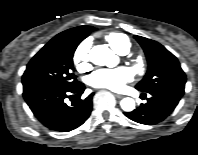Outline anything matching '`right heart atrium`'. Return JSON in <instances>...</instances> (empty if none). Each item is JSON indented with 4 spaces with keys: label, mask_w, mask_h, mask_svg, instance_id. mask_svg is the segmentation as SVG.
<instances>
[{
    "label": "right heart atrium",
    "mask_w": 198,
    "mask_h": 155,
    "mask_svg": "<svg viewBox=\"0 0 198 155\" xmlns=\"http://www.w3.org/2000/svg\"><path fill=\"white\" fill-rule=\"evenodd\" d=\"M90 41L85 40L76 48L73 55V62L77 69L81 72L87 71L90 67Z\"/></svg>",
    "instance_id": "1"
}]
</instances>
